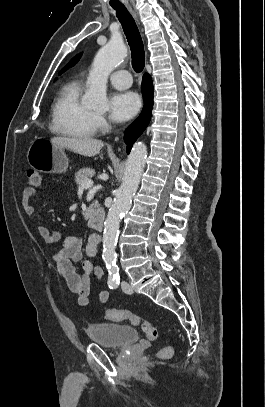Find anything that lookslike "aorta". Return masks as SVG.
I'll return each mask as SVG.
<instances>
[{"label": "aorta", "instance_id": "aorta-1", "mask_svg": "<svg viewBox=\"0 0 265 407\" xmlns=\"http://www.w3.org/2000/svg\"><path fill=\"white\" fill-rule=\"evenodd\" d=\"M126 54L127 49L120 38H112L98 51L88 77L89 88L82 100L86 106L93 108L107 106L108 76L123 61ZM146 156V145L142 142L135 143L126 162L122 184L116 192L104 222L102 258L111 276L119 271L116 264V244L120 219L130 209L132 197L139 186Z\"/></svg>", "mask_w": 265, "mask_h": 407}]
</instances>
